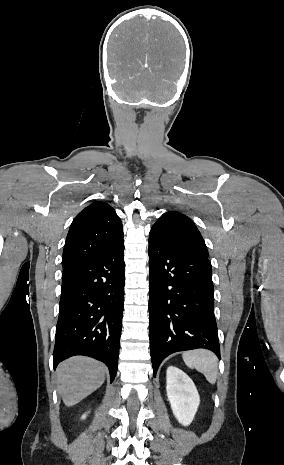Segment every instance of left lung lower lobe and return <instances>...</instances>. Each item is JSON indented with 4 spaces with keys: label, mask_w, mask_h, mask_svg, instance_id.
Returning a JSON list of instances; mask_svg holds the SVG:
<instances>
[{
    "label": "left lung lower lobe",
    "mask_w": 284,
    "mask_h": 465,
    "mask_svg": "<svg viewBox=\"0 0 284 465\" xmlns=\"http://www.w3.org/2000/svg\"><path fill=\"white\" fill-rule=\"evenodd\" d=\"M149 285L154 376L161 362L174 352L205 348L220 358L208 257L150 234Z\"/></svg>",
    "instance_id": "1"
}]
</instances>
